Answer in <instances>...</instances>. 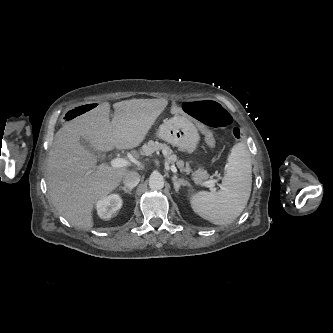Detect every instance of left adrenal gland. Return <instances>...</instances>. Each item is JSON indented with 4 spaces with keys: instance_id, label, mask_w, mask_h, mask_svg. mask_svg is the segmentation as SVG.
<instances>
[{
    "instance_id": "left-adrenal-gland-1",
    "label": "left adrenal gland",
    "mask_w": 333,
    "mask_h": 333,
    "mask_svg": "<svg viewBox=\"0 0 333 333\" xmlns=\"http://www.w3.org/2000/svg\"><path fill=\"white\" fill-rule=\"evenodd\" d=\"M172 182L174 184L175 191L178 193L181 186L190 187V184L184 179H178L176 175L172 177Z\"/></svg>"
}]
</instances>
